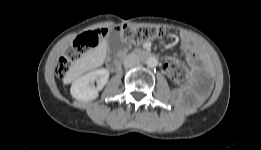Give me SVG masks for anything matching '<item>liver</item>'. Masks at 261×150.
<instances>
[{
  "instance_id": "liver-1",
  "label": "liver",
  "mask_w": 261,
  "mask_h": 150,
  "mask_svg": "<svg viewBox=\"0 0 261 150\" xmlns=\"http://www.w3.org/2000/svg\"><path fill=\"white\" fill-rule=\"evenodd\" d=\"M107 43L102 41L100 45L87 53L84 57L77 61L76 69L79 73H84L94 68L101 66L106 58Z\"/></svg>"
}]
</instances>
